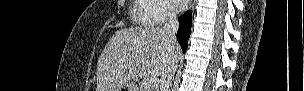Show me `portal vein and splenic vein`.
Wrapping results in <instances>:
<instances>
[{
    "mask_svg": "<svg viewBox=\"0 0 304 91\" xmlns=\"http://www.w3.org/2000/svg\"><path fill=\"white\" fill-rule=\"evenodd\" d=\"M158 82H159V81H158L157 78H150V79L147 81V86H148L149 88H154V87L157 86Z\"/></svg>",
    "mask_w": 304,
    "mask_h": 91,
    "instance_id": "obj_1",
    "label": "portal vein and splenic vein"
}]
</instances>
